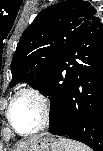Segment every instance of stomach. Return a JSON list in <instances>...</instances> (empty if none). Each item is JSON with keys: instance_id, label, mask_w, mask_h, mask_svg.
<instances>
[{"instance_id": "1", "label": "stomach", "mask_w": 103, "mask_h": 151, "mask_svg": "<svg viewBox=\"0 0 103 151\" xmlns=\"http://www.w3.org/2000/svg\"><path fill=\"white\" fill-rule=\"evenodd\" d=\"M31 141L25 151H63L59 139L51 136H37Z\"/></svg>"}]
</instances>
